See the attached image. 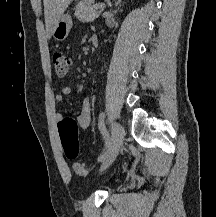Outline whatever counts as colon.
Listing matches in <instances>:
<instances>
[{
  "label": "colon",
  "instance_id": "colon-1",
  "mask_svg": "<svg viewBox=\"0 0 216 217\" xmlns=\"http://www.w3.org/2000/svg\"><path fill=\"white\" fill-rule=\"evenodd\" d=\"M53 68L57 76L64 77L68 74L71 67V59L62 52H55L52 58ZM78 124L71 118H64L59 125V134L64 150L65 157L74 160L79 154V145L77 140ZM74 171L78 176L86 177L91 169L89 166L76 163Z\"/></svg>",
  "mask_w": 216,
  "mask_h": 217
}]
</instances>
